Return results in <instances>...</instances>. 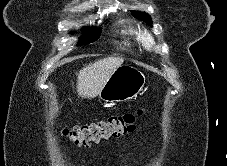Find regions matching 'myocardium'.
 <instances>
[{
  "instance_id": "1",
  "label": "myocardium",
  "mask_w": 227,
  "mask_h": 166,
  "mask_svg": "<svg viewBox=\"0 0 227 166\" xmlns=\"http://www.w3.org/2000/svg\"><path fill=\"white\" fill-rule=\"evenodd\" d=\"M139 40L146 48H151L155 45V38L148 30H142L139 33Z\"/></svg>"
}]
</instances>
